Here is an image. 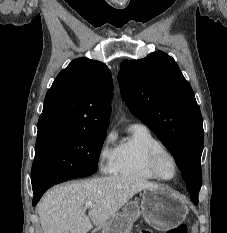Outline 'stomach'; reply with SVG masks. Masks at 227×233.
Segmentation results:
<instances>
[{"label": "stomach", "mask_w": 227, "mask_h": 233, "mask_svg": "<svg viewBox=\"0 0 227 233\" xmlns=\"http://www.w3.org/2000/svg\"><path fill=\"white\" fill-rule=\"evenodd\" d=\"M188 213L185 201L173 191L157 187L144 190L141 200L127 203L99 228V233H130L133 223L143 216L154 228L170 231L182 223Z\"/></svg>", "instance_id": "stomach-1"}]
</instances>
